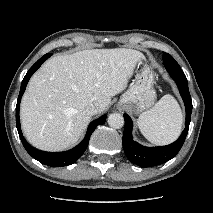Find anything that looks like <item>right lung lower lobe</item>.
I'll use <instances>...</instances> for the list:
<instances>
[{
  "instance_id": "obj_1",
  "label": "right lung lower lobe",
  "mask_w": 213,
  "mask_h": 213,
  "mask_svg": "<svg viewBox=\"0 0 213 213\" xmlns=\"http://www.w3.org/2000/svg\"><path fill=\"white\" fill-rule=\"evenodd\" d=\"M52 54L51 53H47L45 54L43 57H41L27 72V74L25 75L22 84H21V89H20V93L18 96V100H17V105H16V126H17V130L19 133V137L22 141V144L24 146V148L26 149V151L36 160H38L39 162H41L42 164H45L47 166H52V167H61V166H67L70 164L75 163L84 153V151L86 150L88 144H89V139L91 134L93 133V131L95 130V128L98 125H102L105 123L107 115H103L102 117L94 120L93 122L90 123L87 133L84 137V139L82 140V142L77 145L76 147H74L73 149L66 151V152H60V153H46V152H42L39 151L35 148H33L23 137L22 135V131L20 128V120H19V106H20V101H21V97L26 89V85L30 79V77L32 76V74L41 66V64L47 60Z\"/></svg>"
}]
</instances>
